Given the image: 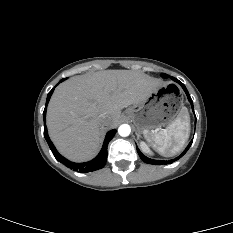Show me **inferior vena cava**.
Segmentation results:
<instances>
[{"label":"inferior vena cava","instance_id":"1","mask_svg":"<svg viewBox=\"0 0 233 233\" xmlns=\"http://www.w3.org/2000/svg\"><path fill=\"white\" fill-rule=\"evenodd\" d=\"M100 123H101V125H106L107 123H108V120L105 118V117H101L100 118Z\"/></svg>","mask_w":233,"mask_h":233}]
</instances>
